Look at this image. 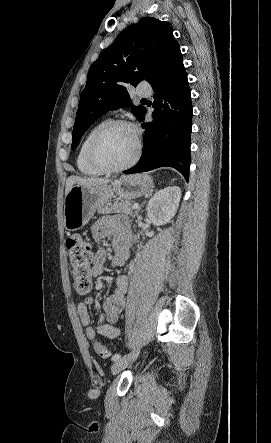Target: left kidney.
<instances>
[{"label":"left kidney","mask_w":271,"mask_h":443,"mask_svg":"<svg viewBox=\"0 0 271 443\" xmlns=\"http://www.w3.org/2000/svg\"><path fill=\"white\" fill-rule=\"evenodd\" d=\"M178 186H168L156 192L147 204V216L154 225H163L174 218L181 198Z\"/></svg>","instance_id":"5707ae66"}]
</instances>
